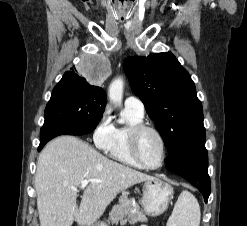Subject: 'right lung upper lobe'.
<instances>
[{
    "mask_svg": "<svg viewBox=\"0 0 247 226\" xmlns=\"http://www.w3.org/2000/svg\"><path fill=\"white\" fill-rule=\"evenodd\" d=\"M66 79L72 80L79 87L92 90L106 100L105 91L101 87L90 85L85 78L77 74L76 69L71 68V71H67L61 80Z\"/></svg>",
    "mask_w": 247,
    "mask_h": 226,
    "instance_id": "1",
    "label": "right lung upper lobe"
}]
</instances>
